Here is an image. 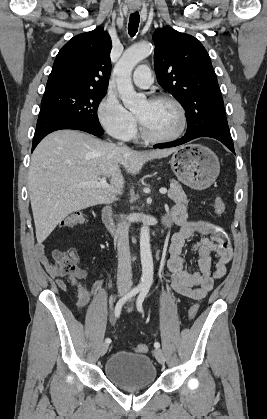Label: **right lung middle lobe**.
Wrapping results in <instances>:
<instances>
[{"label":"right lung middle lobe","instance_id":"obj_1","mask_svg":"<svg viewBox=\"0 0 267 419\" xmlns=\"http://www.w3.org/2000/svg\"><path fill=\"white\" fill-rule=\"evenodd\" d=\"M106 91L66 89L45 92L42 108L65 114L83 123L100 126L97 109Z\"/></svg>","mask_w":267,"mask_h":419}]
</instances>
